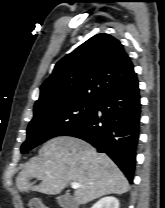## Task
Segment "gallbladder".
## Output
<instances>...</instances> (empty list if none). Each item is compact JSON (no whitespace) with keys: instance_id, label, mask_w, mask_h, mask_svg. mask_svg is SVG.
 <instances>
[{"instance_id":"gallbladder-1","label":"gallbladder","mask_w":165,"mask_h":208,"mask_svg":"<svg viewBox=\"0 0 165 208\" xmlns=\"http://www.w3.org/2000/svg\"><path fill=\"white\" fill-rule=\"evenodd\" d=\"M57 202L62 208H77L76 201L68 194L58 196Z\"/></svg>"}]
</instances>
